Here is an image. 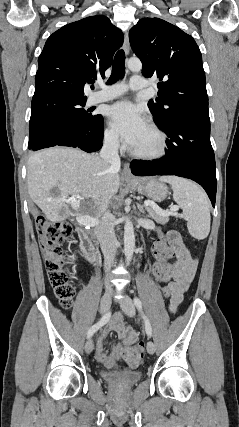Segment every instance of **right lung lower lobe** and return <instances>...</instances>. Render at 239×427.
Masks as SVG:
<instances>
[{"instance_id":"right-lung-lower-lobe-1","label":"right lung lower lobe","mask_w":239,"mask_h":427,"mask_svg":"<svg viewBox=\"0 0 239 427\" xmlns=\"http://www.w3.org/2000/svg\"><path fill=\"white\" fill-rule=\"evenodd\" d=\"M104 120L102 115L86 128H77L70 122H61L45 129L30 151L60 146L79 147L86 152H94L102 147Z\"/></svg>"}]
</instances>
